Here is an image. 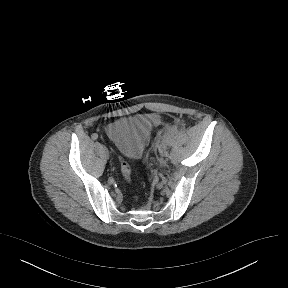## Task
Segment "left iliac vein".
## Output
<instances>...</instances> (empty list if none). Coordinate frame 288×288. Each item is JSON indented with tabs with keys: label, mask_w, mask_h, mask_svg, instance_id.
Masks as SVG:
<instances>
[{
	"label": "left iliac vein",
	"mask_w": 288,
	"mask_h": 288,
	"mask_svg": "<svg viewBox=\"0 0 288 288\" xmlns=\"http://www.w3.org/2000/svg\"><path fill=\"white\" fill-rule=\"evenodd\" d=\"M161 154H162V156L166 155L165 145H163V147H162Z\"/></svg>",
	"instance_id": "4c4485c4"
}]
</instances>
